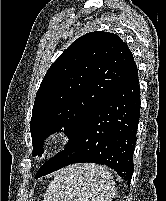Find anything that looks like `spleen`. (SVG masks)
Wrapping results in <instances>:
<instances>
[{
  "label": "spleen",
  "instance_id": "1",
  "mask_svg": "<svg viewBox=\"0 0 166 201\" xmlns=\"http://www.w3.org/2000/svg\"><path fill=\"white\" fill-rule=\"evenodd\" d=\"M111 174L95 164H75L60 170L51 181L44 201H112Z\"/></svg>",
  "mask_w": 166,
  "mask_h": 201
}]
</instances>
